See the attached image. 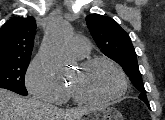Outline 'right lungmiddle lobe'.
Returning <instances> with one entry per match:
<instances>
[{
	"instance_id": "1",
	"label": "right lung middle lobe",
	"mask_w": 165,
	"mask_h": 120,
	"mask_svg": "<svg viewBox=\"0 0 165 120\" xmlns=\"http://www.w3.org/2000/svg\"><path fill=\"white\" fill-rule=\"evenodd\" d=\"M30 59L0 58V88L28 95L24 76Z\"/></svg>"
}]
</instances>
